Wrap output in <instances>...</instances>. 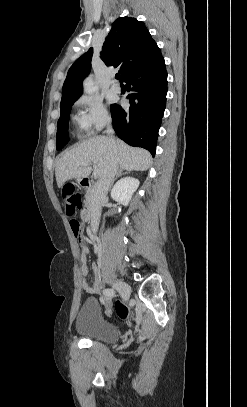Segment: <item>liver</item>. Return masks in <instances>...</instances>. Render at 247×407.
Returning <instances> with one entry per match:
<instances>
[{
  "label": "liver",
  "mask_w": 247,
  "mask_h": 407,
  "mask_svg": "<svg viewBox=\"0 0 247 407\" xmlns=\"http://www.w3.org/2000/svg\"><path fill=\"white\" fill-rule=\"evenodd\" d=\"M112 154L115 155L120 168L128 171H145L152 163L150 153L144 149L130 147L119 139L112 144L108 137H94L66 151L59 158L55 169L58 187H62L67 180L88 177L91 168L88 165H80L84 162L94 163L100 171V177Z\"/></svg>",
  "instance_id": "6515ba94"
}]
</instances>
